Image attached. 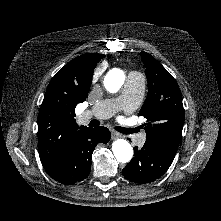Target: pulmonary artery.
I'll list each match as a JSON object with an SVG mask.
<instances>
[{
    "instance_id": "e3ab8cb5",
    "label": "pulmonary artery",
    "mask_w": 221,
    "mask_h": 221,
    "mask_svg": "<svg viewBox=\"0 0 221 221\" xmlns=\"http://www.w3.org/2000/svg\"><path fill=\"white\" fill-rule=\"evenodd\" d=\"M145 89L144 76L138 72L129 73L125 88L120 97L115 100H108L98 102L90 110L81 114L79 120L81 123L86 122L92 118L106 119L112 116L118 109H132L137 107L142 99ZM144 141V134L140 135L136 142L142 144Z\"/></svg>"
}]
</instances>
